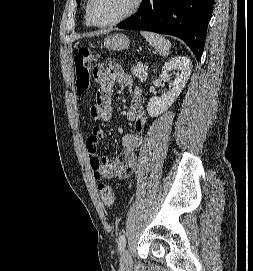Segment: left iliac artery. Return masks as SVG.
I'll return each instance as SVG.
<instances>
[{
    "mask_svg": "<svg viewBox=\"0 0 253 271\" xmlns=\"http://www.w3.org/2000/svg\"><path fill=\"white\" fill-rule=\"evenodd\" d=\"M125 245H126L125 235H120L118 239V249L120 252L124 251Z\"/></svg>",
    "mask_w": 253,
    "mask_h": 271,
    "instance_id": "left-iliac-artery-1",
    "label": "left iliac artery"
}]
</instances>
